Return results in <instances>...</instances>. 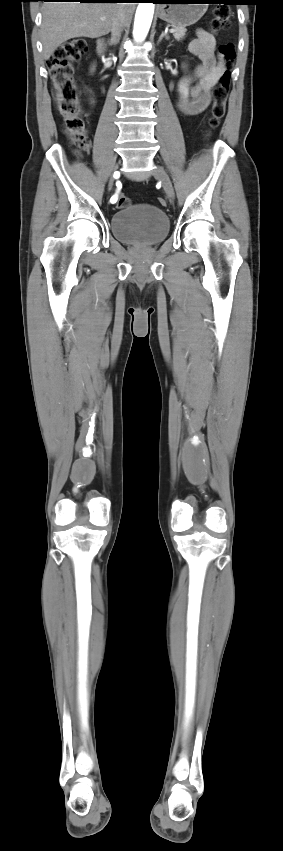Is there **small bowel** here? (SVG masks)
Returning <instances> with one entry per match:
<instances>
[{
    "instance_id": "obj_1",
    "label": "small bowel",
    "mask_w": 283,
    "mask_h": 851,
    "mask_svg": "<svg viewBox=\"0 0 283 851\" xmlns=\"http://www.w3.org/2000/svg\"><path fill=\"white\" fill-rule=\"evenodd\" d=\"M216 39L212 31L198 29L196 36L190 41L189 49L201 63L196 68V85L191 100H180L178 109L185 115L202 113L210 104L211 91L224 72L222 57L216 54Z\"/></svg>"
}]
</instances>
